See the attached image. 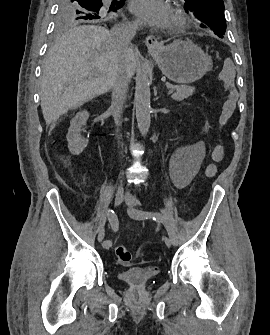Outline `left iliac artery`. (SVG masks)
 Segmentation results:
<instances>
[{
	"label": "left iliac artery",
	"mask_w": 270,
	"mask_h": 335,
	"mask_svg": "<svg viewBox=\"0 0 270 335\" xmlns=\"http://www.w3.org/2000/svg\"><path fill=\"white\" fill-rule=\"evenodd\" d=\"M137 216L140 217H145V218H152L153 220L157 222H162L163 225L165 226L167 233L169 235V238L172 242L173 245H178V238L174 230V225L169 221V219L156 212H148V211H143V210H136L135 211Z\"/></svg>",
	"instance_id": "44dca946"
}]
</instances>
